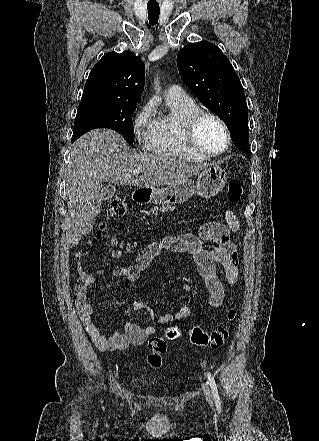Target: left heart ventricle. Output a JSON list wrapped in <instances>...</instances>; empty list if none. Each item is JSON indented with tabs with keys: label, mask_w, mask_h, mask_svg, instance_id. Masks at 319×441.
<instances>
[{
	"label": "left heart ventricle",
	"mask_w": 319,
	"mask_h": 441,
	"mask_svg": "<svg viewBox=\"0 0 319 441\" xmlns=\"http://www.w3.org/2000/svg\"><path fill=\"white\" fill-rule=\"evenodd\" d=\"M197 140L202 148L212 152L221 150L226 143L222 128L212 119H206L200 125Z\"/></svg>",
	"instance_id": "1"
}]
</instances>
